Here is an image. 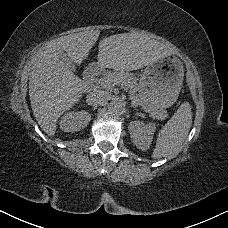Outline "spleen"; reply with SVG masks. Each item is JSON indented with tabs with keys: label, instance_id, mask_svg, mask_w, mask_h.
Segmentation results:
<instances>
[{
	"label": "spleen",
	"instance_id": "obj_1",
	"mask_svg": "<svg viewBox=\"0 0 228 228\" xmlns=\"http://www.w3.org/2000/svg\"><path fill=\"white\" fill-rule=\"evenodd\" d=\"M193 121L192 106L188 101L182 102L170 120L158 131L152 158L174 159L190 132Z\"/></svg>",
	"mask_w": 228,
	"mask_h": 228
}]
</instances>
